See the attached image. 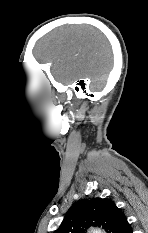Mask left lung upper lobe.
Returning a JSON list of instances; mask_svg holds the SVG:
<instances>
[{"instance_id": "left-lung-upper-lobe-1", "label": "left lung upper lobe", "mask_w": 148, "mask_h": 233, "mask_svg": "<svg viewBox=\"0 0 148 233\" xmlns=\"http://www.w3.org/2000/svg\"><path fill=\"white\" fill-rule=\"evenodd\" d=\"M89 226H101L107 233H126L131 228L112 200L94 198L74 203L53 233H85L84 229Z\"/></svg>"}]
</instances>
